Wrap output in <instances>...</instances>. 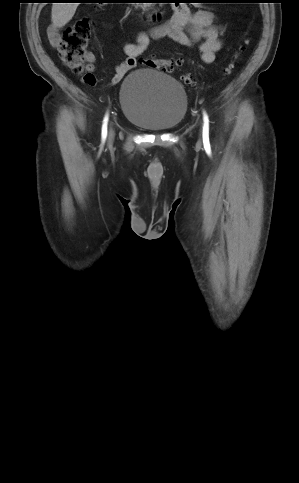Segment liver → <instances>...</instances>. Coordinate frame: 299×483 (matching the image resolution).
<instances>
[{
  "label": "liver",
  "instance_id": "6515ba94",
  "mask_svg": "<svg viewBox=\"0 0 299 483\" xmlns=\"http://www.w3.org/2000/svg\"><path fill=\"white\" fill-rule=\"evenodd\" d=\"M79 3H53L52 22L56 27L65 26L74 16Z\"/></svg>",
  "mask_w": 299,
  "mask_h": 483
}]
</instances>
